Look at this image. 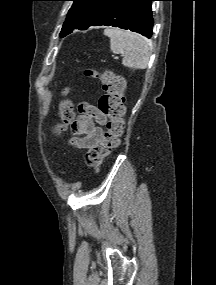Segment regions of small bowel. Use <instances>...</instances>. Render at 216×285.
Segmentation results:
<instances>
[{"mask_svg":"<svg viewBox=\"0 0 216 285\" xmlns=\"http://www.w3.org/2000/svg\"><path fill=\"white\" fill-rule=\"evenodd\" d=\"M79 110L82 116L72 126L73 131L79 135L74 143L82 148H90L101 140L103 129L99 125L106 122V117L98 108L89 104L80 105Z\"/></svg>","mask_w":216,"mask_h":285,"instance_id":"obj_1","label":"small bowel"}]
</instances>
